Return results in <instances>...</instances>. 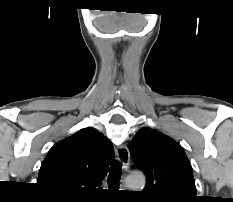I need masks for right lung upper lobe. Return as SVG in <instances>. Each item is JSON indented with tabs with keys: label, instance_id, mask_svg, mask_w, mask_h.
<instances>
[{
	"label": "right lung upper lobe",
	"instance_id": "cb5924a9",
	"mask_svg": "<svg viewBox=\"0 0 233 202\" xmlns=\"http://www.w3.org/2000/svg\"><path fill=\"white\" fill-rule=\"evenodd\" d=\"M114 148L92 127L56 143L42 162L38 181L57 196H82L94 190L107 173Z\"/></svg>",
	"mask_w": 233,
	"mask_h": 202
}]
</instances>
